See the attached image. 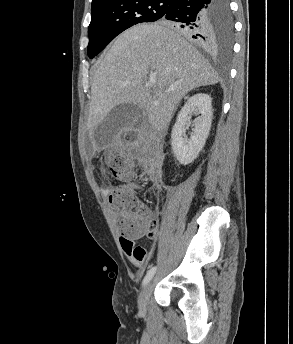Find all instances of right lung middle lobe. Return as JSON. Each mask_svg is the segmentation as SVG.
<instances>
[{"mask_svg":"<svg viewBox=\"0 0 293 344\" xmlns=\"http://www.w3.org/2000/svg\"><path fill=\"white\" fill-rule=\"evenodd\" d=\"M170 0H116L92 8L88 28V56L95 57L129 27L161 19ZM215 44L231 47L233 34L228 0H217L213 16Z\"/></svg>","mask_w":293,"mask_h":344,"instance_id":"dd1d6c3e","label":"right lung middle lobe"}]
</instances>
